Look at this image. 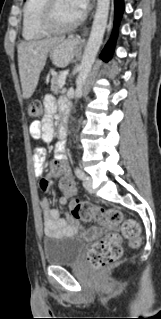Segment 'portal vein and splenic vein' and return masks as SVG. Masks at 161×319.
Returning a JSON list of instances; mask_svg holds the SVG:
<instances>
[{"mask_svg":"<svg viewBox=\"0 0 161 319\" xmlns=\"http://www.w3.org/2000/svg\"><path fill=\"white\" fill-rule=\"evenodd\" d=\"M68 70H65L63 72H61V76H60V87L62 88L65 84V80H66V77L68 75Z\"/></svg>","mask_w":161,"mask_h":319,"instance_id":"obj_1","label":"portal vein and splenic vein"}]
</instances>
